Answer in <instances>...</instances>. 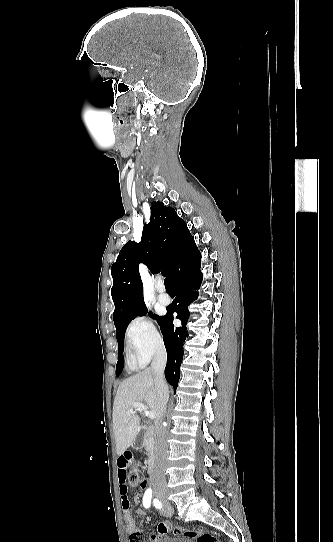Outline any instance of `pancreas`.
I'll use <instances>...</instances> for the list:
<instances>
[{
	"instance_id": "obj_1",
	"label": "pancreas",
	"mask_w": 333,
	"mask_h": 542,
	"mask_svg": "<svg viewBox=\"0 0 333 542\" xmlns=\"http://www.w3.org/2000/svg\"><path fill=\"white\" fill-rule=\"evenodd\" d=\"M148 442H149L148 446H153L154 448L155 438H148ZM146 452H147V456H153L154 454L153 450H150V448H147Z\"/></svg>"
}]
</instances>
